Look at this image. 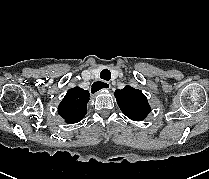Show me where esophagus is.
<instances>
[{
  "label": "esophagus",
  "instance_id": "obj_1",
  "mask_svg": "<svg viewBox=\"0 0 209 179\" xmlns=\"http://www.w3.org/2000/svg\"><path fill=\"white\" fill-rule=\"evenodd\" d=\"M102 88L105 89V90H109L111 88V84L107 81L95 82V83L92 84L91 92L95 93Z\"/></svg>",
  "mask_w": 209,
  "mask_h": 179
}]
</instances>
